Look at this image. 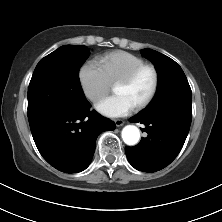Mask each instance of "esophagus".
Listing matches in <instances>:
<instances>
[{
  "instance_id": "34e87169",
  "label": "esophagus",
  "mask_w": 222,
  "mask_h": 222,
  "mask_svg": "<svg viewBox=\"0 0 222 222\" xmlns=\"http://www.w3.org/2000/svg\"><path fill=\"white\" fill-rule=\"evenodd\" d=\"M114 122L117 127H120L124 124V121L122 119H116Z\"/></svg>"
}]
</instances>
